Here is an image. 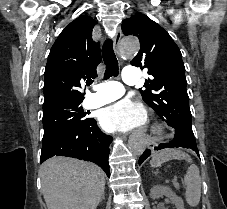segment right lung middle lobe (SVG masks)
Returning a JSON list of instances; mask_svg holds the SVG:
<instances>
[{"mask_svg":"<svg viewBox=\"0 0 227 209\" xmlns=\"http://www.w3.org/2000/svg\"><path fill=\"white\" fill-rule=\"evenodd\" d=\"M82 101H52L43 105V139L86 122V113L79 106Z\"/></svg>","mask_w":227,"mask_h":209,"instance_id":"right-lung-middle-lobe-1","label":"right lung middle lobe"}]
</instances>
